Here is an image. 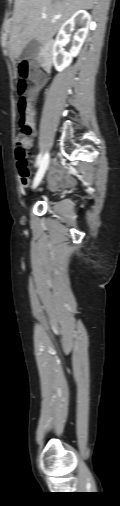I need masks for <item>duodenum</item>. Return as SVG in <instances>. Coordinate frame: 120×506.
I'll return each mask as SVG.
<instances>
[{
    "mask_svg": "<svg viewBox=\"0 0 120 506\" xmlns=\"http://www.w3.org/2000/svg\"><path fill=\"white\" fill-rule=\"evenodd\" d=\"M52 53H53V44L52 42H48L44 48V60H43V66L47 70L49 69L50 66Z\"/></svg>",
    "mask_w": 120,
    "mask_h": 506,
    "instance_id": "obj_1",
    "label": "duodenum"
}]
</instances>
